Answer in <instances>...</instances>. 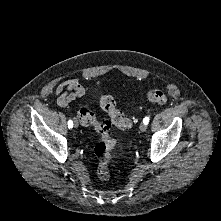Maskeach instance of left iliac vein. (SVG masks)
Instances as JSON below:
<instances>
[{"mask_svg": "<svg viewBox=\"0 0 221 221\" xmlns=\"http://www.w3.org/2000/svg\"><path fill=\"white\" fill-rule=\"evenodd\" d=\"M139 129H140L142 132H144V131H146V130H147V125H146V124H144V123H141V125H140Z\"/></svg>", "mask_w": 221, "mask_h": 221, "instance_id": "left-iliac-vein-1", "label": "left iliac vein"}]
</instances>
